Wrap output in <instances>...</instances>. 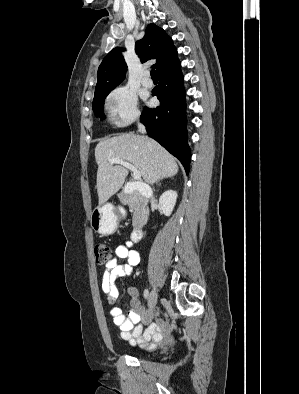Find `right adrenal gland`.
I'll list each match as a JSON object with an SVG mask.
<instances>
[{"label":"right adrenal gland","instance_id":"1","mask_svg":"<svg viewBox=\"0 0 299 394\" xmlns=\"http://www.w3.org/2000/svg\"><path fill=\"white\" fill-rule=\"evenodd\" d=\"M161 179L158 180V183L160 182ZM158 186H160V184H158Z\"/></svg>","mask_w":299,"mask_h":394}]
</instances>
